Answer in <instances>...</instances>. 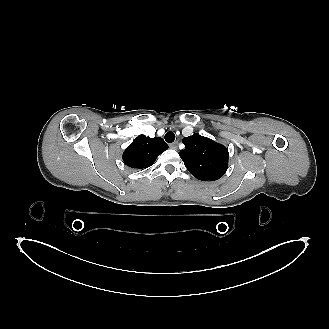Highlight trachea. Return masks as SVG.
<instances>
[{
  "label": "trachea",
  "instance_id": "1",
  "mask_svg": "<svg viewBox=\"0 0 329 329\" xmlns=\"http://www.w3.org/2000/svg\"><path fill=\"white\" fill-rule=\"evenodd\" d=\"M165 140L168 143L174 142V140H175V134L173 132H171V131L167 132L165 134Z\"/></svg>",
  "mask_w": 329,
  "mask_h": 329
}]
</instances>
